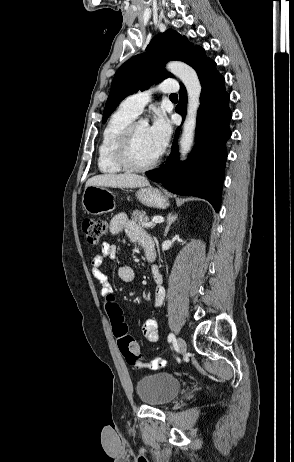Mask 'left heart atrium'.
<instances>
[{
	"instance_id": "left-heart-atrium-1",
	"label": "left heart atrium",
	"mask_w": 294,
	"mask_h": 462,
	"mask_svg": "<svg viewBox=\"0 0 294 462\" xmlns=\"http://www.w3.org/2000/svg\"><path fill=\"white\" fill-rule=\"evenodd\" d=\"M150 137L160 154L164 151L171 136V126L168 120L163 115L155 117L152 125L148 127Z\"/></svg>"
}]
</instances>
